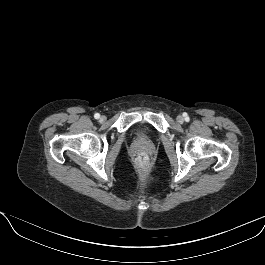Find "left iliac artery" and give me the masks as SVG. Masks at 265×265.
<instances>
[{"mask_svg":"<svg viewBox=\"0 0 265 265\" xmlns=\"http://www.w3.org/2000/svg\"><path fill=\"white\" fill-rule=\"evenodd\" d=\"M188 119H189L188 117L185 118L186 121H188Z\"/></svg>","mask_w":265,"mask_h":265,"instance_id":"obj_1","label":"left iliac artery"}]
</instances>
